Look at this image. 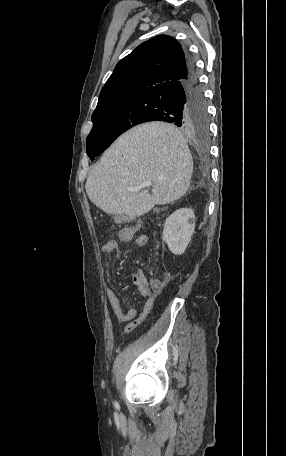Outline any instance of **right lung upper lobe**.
<instances>
[{"label": "right lung upper lobe", "mask_w": 286, "mask_h": 456, "mask_svg": "<svg viewBox=\"0 0 286 456\" xmlns=\"http://www.w3.org/2000/svg\"><path fill=\"white\" fill-rule=\"evenodd\" d=\"M187 57L176 39L156 36L123 58L102 88L96 110L117 99L138 95L181 78Z\"/></svg>", "instance_id": "cb5924a9"}]
</instances>
